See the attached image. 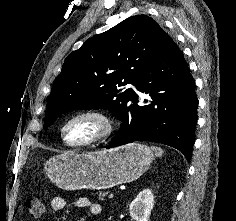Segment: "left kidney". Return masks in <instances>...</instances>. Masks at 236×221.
<instances>
[{
    "instance_id": "left-kidney-1",
    "label": "left kidney",
    "mask_w": 236,
    "mask_h": 221,
    "mask_svg": "<svg viewBox=\"0 0 236 221\" xmlns=\"http://www.w3.org/2000/svg\"><path fill=\"white\" fill-rule=\"evenodd\" d=\"M154 206V196L150 189H144L129 206L130 215L136 221H149Z\"/></svg>"
}]
</instances>
